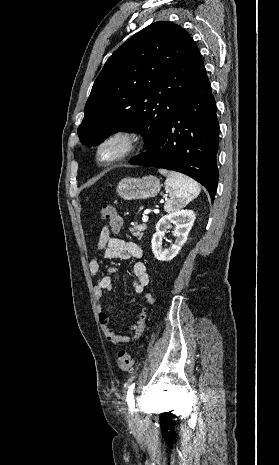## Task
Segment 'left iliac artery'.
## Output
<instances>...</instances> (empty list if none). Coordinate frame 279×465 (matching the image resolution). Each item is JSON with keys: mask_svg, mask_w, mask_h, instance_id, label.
Instances as JSON below:
<instances>
[{"mask_svg": "<svg viewBox=\"0 0 279 465\" xmlns=\"http://www.w3.org/2000/svg\"><path fill=\"white\" fill-rule=\"evenodd\" d=\"M134 387H135V383L131 384L129 386V389H128V392H127V402H128V405H129V409L131 412L134 411L135 409V403H134V400H133V391H134Z\"/></svg>", "mask_w": 279, "mask_h": 465, "instance_id": "left-iliac-artery-1", "label": "left iliac artery"}]
</instances>
